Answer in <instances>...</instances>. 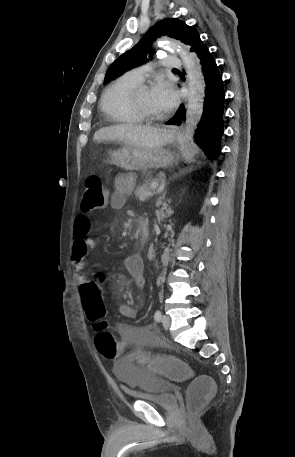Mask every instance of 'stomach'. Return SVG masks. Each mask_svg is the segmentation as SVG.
Listing matches in <instances>:
<instances>
[{
    "label": "stomach",
    "mask_w": 295,
    "mask_h": 457,
    "mask_svg": "<svg viewBox=\"0 0 295 457\" xmlns=\"http://www.w3.org/2000/svg\"><path fill=\"white\" fill-rule=\"evenodd\" d=\"M167 138V143H172L175 139L174 132L168 130ZM174 162V154L163 147L139 149L124 145L110 152V163L128 170L166 168Z\"/></svg>",
    "instance_id": "obj_1"
}]
</instances>
